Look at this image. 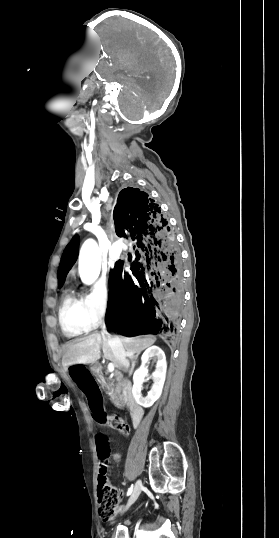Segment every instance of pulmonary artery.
<instances>
[{
    "mask_svg": "<svg viewBox=\"0 0 279 538\" xmlns=\"http://www.w3.org/2000/svg\"><path fill=\"white\" fill-rule=\"evenodd\" d=\"M113 263H114L113 260H109V262H108L109 266H113Z\"/></svg>",
    "mask_w": 279,
    "mask_h": 538,
    "instance_id": "pulmonary-artery-1",
    "label": "pulmonary artery"
}]
</instances>
